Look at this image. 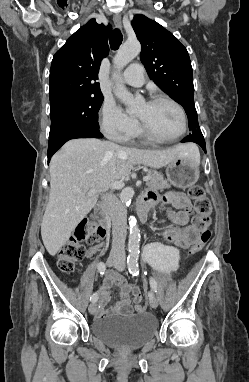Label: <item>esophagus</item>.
<instances>
[{"label":"esophagus","instance_id":"esophagus-1","mask_svg":"<svg viewBox=\"0 0 249 382\" xmlns=\"http://www.w3.org/2000/svg\"><path fill=\"white\" fill-rule=\"evenodd\" d=\"M113 22L117 28H120V29L122 28V21H121L120 15L118 14L114 15Z\"/></svg>","mask_w":249,"mask_h":382}]
</instances>
